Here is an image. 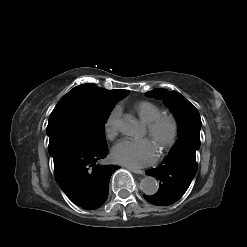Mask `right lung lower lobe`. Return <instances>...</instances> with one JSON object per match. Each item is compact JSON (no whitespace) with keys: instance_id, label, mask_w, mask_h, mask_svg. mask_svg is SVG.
I'll list each match as a JSON object with an SVG mask.
<instances>
[{"instance_id":"98d812e1","label":"right lung lower lobe","mask_w":247,"mask_h":247,"mask_svg":"<svg viewBox=\"0 0 247 247\" xmlns=\"http://www.w3.org/2000/svg\"><path fill=\"white\" fill-rule=\"evenodd\" d=\"M48 150L55 179L67 197L84 209L99 208L108 197L110 177L119 168L98 164L108 147L93 148L69 137L51 136Z\"/></svg>"}]
</instances>
